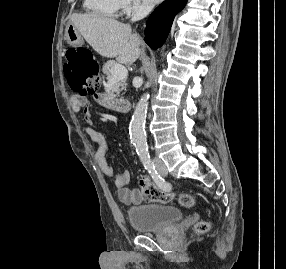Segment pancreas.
<instances>
[{
    "label": "pancreas",
    "instance_id": "obj_1",
    "mask_svg": "<svg viewBox=\"0 0 286 269\" xmlns=\"http://www.w3.org/2000/svg\"><path fill=\"white\" fill-rule=\"evenodd\" d=\"M117 64L116 61H109L104 64L102 68L103 74L106 76V80L109 81L114 77V67ZM126 77L123 78H116V84L110 91V93L105 94L104 97L107 101H113L118 95L121 89H123L125 82H126Z\"/></svg>",
    "mask_w": 286,
    "mask_h": 269
}]
</instances>
